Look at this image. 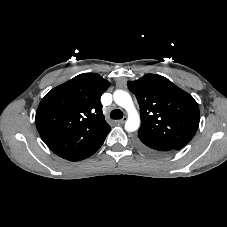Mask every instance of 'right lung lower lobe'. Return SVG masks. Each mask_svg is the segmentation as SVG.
Masks as SVG:
<instances>
[{"mask_svg": "<svg viewBox=\"0 0 227 227\" xmlns=\"http://www.w3.org/2000/svg\"><path fill=\"white\" fill-rule=\"evenodd\" d=\"M102 144H103V142L96 149H94L92 152H89L87 154L74 157V158L70 159V161H79V160H83L85 158L90 157L91 155H93L101 147Z\"/></svg>", "mask_w": 227, "mask_h": 227, "instance_id": "1", "label": "right lung lower lobe"}]
</instances>
